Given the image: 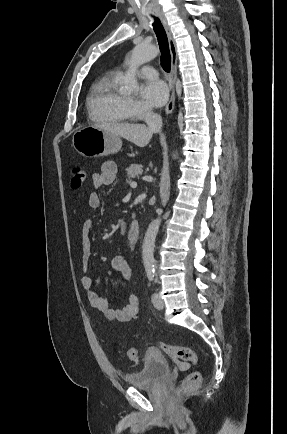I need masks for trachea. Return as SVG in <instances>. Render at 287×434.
I'll return each instance as SVG.
<instances>
[{
	"label": "trachea",
	"instance_id": "3493384b",
	"mask_svg": "<svg viewBox=\"0 0 287 434\" xmlns=\"http://www.w3.org/2000/svg\"><path fill=\"white\" fill-rule=\"evenodd\" d=\"M153 29L156 33L160 51H161V65L166 72H170L171 69V54L168 44L167 34L165 29L161 23V21L157 17H153Z\"/></svg>",
	"mask_w": 287,
	"mask_h": 434
}]
</instances>
